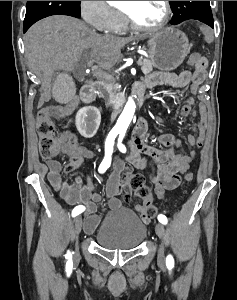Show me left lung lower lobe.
Returning <instances> with one entry per match:
<instances>
[{
  "instance_id": "left-lung-lower-lobe-1",
  "label": "left lung lower lobe",
  "mask_w": 237,
  "mask_h": 300,
  "mask_svg": "<svg viewBox=\"0 0 237 300\" xmlns=\"http://www.w3.org/2000/svg\"><path fill=\"white\" fill-rule=\"evenodd\" d=\"M207 24L212 28L214 27V21H209Z\"/></svg>"
}]
</instances>
